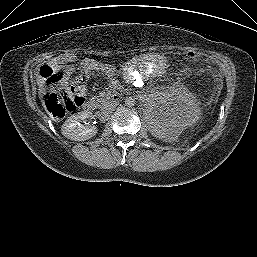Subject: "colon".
Here are the masks:
<instances>
[{
    "instance_id": "1",
    "label": "colon",
    "mask_w": 257,
    "mask_h": 257,
    "mask_svg": "<svg viewBox=\"0 0 257 257\" xmlns=\"http://www.w3.org/2000/svg\"><path fill=\"white\" fill-rule=\"evenodd\" d=\"M185 56L188 60L196 62L202 56L197 51H187ZM92 68H97L92 65ZM40 79L47 85L58 82L62 78V74L50 65H44L39 71ZM87 76L81 75L74 84L69 86L60 94L49 91L44 95L45 106L48 113L55 119H61L67 112H72L80 107L86 96L85 81Z\"/></svg>"
}]
</instances>
